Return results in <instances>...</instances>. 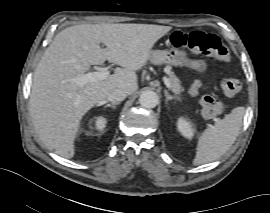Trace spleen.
Returning <instances> with one entry per match:
<instances>
[{"instance_id":"3e777b00","label":"spleen","mask_w":270,"mask_h":213,"mask_svg":"<svg viewBox=\"0 0 270 213\" xmlns=\"http://www.w3.org/2000/svg\"><path fill=\"white\" fill-rule=\"evenodd\" d=\"M244 114V107H237L225 118L206 128L199 135L193 164L209 163L225 154L239 134Z\"/></svg>"}]
</instances>
